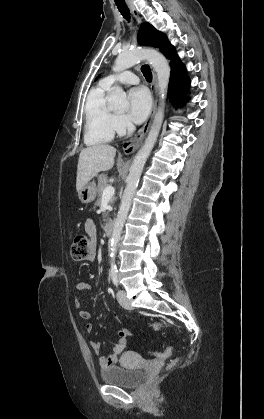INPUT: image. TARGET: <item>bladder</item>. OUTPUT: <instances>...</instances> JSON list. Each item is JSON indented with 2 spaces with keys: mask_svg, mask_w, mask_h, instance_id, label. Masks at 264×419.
Wrapping results in <instances>:
<instances>
[{
  "mask_svg": "<svg viewBox=\"0 0 264 419\" xmlns=\"http://www.w3.org/2000/svg\"><path fill=\"white\" fill-rule=\"evenodd\" d=\"M102 380L111 385L134 388L145 378V372L137 368L125 366H109L101 370Z\"/></svg>",
  "mask_w": 264,
  "mask_h": 419,
  "instance_id": "bladder-1",
  "label": "bladder"
}]
</instances>
